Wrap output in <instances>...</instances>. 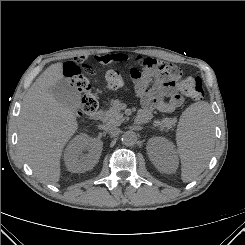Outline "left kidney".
<instances>
[{
    "mask_svg": "<svg viewBox=\"0 0 245 245\" xmlns=\"http://www.w3.org/2000/svg\"><path fill=\"white\" fill-rule=\"evenodd\" d=\"M147 152L150 160L160 172L172 173L177 169L178 157L171 141L164 137L148 140Z\"/></svg>",
    "mask_w": 245,
    "mask_h": 245,
    "instance_id": "5707ae66",
    "label": "left kidney"
}]
</instances>
